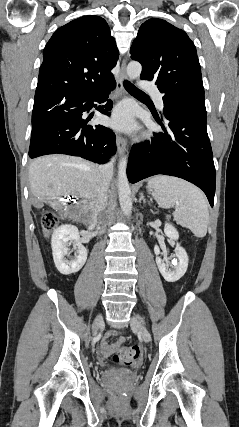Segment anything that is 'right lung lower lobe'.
I'll use <instances>...</instances> for the list:
<instances>
[{
    "label": "right lung lower lobe",
    "instance_id": "right-lung-lower-lobe-1",
    "mask_svg": "<svg viewBox=\"0 0 239 427\" xmlns=\"http://www.w3.org/2000/svg\"><path fill=\"white\" fill-rule=\"evenodd\" d=\"M116 86L114 78L93 91H75L56 97L54 104L32 125L30 158L54 153L80 156L103 164L116 152L115 134L102 125H87L84 119L93 102H105L98 110L106 114L112 108L108 94Z\"/></svg>",
    "mask_w": 239,
    "mask_h": 427
}]
</instances>
